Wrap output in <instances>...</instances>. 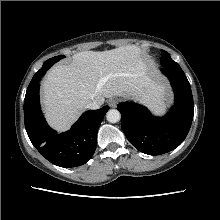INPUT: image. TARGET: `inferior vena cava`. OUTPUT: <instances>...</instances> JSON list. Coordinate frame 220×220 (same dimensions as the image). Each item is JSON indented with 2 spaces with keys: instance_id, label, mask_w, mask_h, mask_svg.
I'll list each match as a JSON object with an SVG mask.
<instances>
[{
  "instance_id": "obj_1",
  "label": "inferior vena cava",
  "mask_w": 220,
  "mask_h": 220,
  "mask_svg": "<svg viewBox=\"0 0 220 220\" xmlns=\"http://www.w3.org/2000/svg\"><path fill=\"white\" fill-rule=\"evenodd\" d=\"M100 106H101V104L99 102L93 101L87 105V108L91 109V110H95V109H99Z\"/></svg>"
}]
</instances>
